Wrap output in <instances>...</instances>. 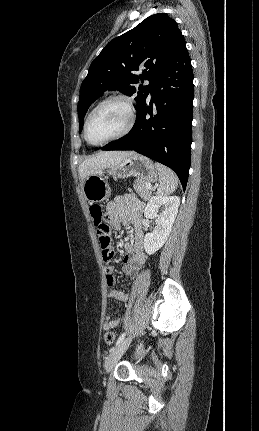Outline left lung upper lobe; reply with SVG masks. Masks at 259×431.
<instances>
[{"label": "left lung upper lobe", "instance_id": "obj_1", "mask_svg": "<svg viewBox=\"0 0 259 431\" xmlns=\"http://www.w3.org/2000/svg\"><path fill=\"white\" fill-rule=\"evenodd\" d=\"M184 40L177 23L166 14L149 16L132 30L111 40L93 60L80 88L78 102L79 132L91 103L107 90H118L132 96V84L149 80L139 86L136 110L147 98L160 69ZM142 70L136 75L135 71Z\"/></svg>", "mask_w": 259, "mask_h": 431}]
</instances>
